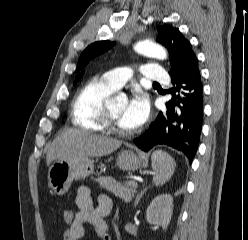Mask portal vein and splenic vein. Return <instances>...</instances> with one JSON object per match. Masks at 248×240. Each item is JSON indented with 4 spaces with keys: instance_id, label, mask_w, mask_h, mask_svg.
Returning <instances> with one entry per match:
<instances>
[{
    "instance_id": "obj_1",
    "label": "portal vein and splenic vein",
    "mask_w": 248,
    "mask_h": 240,
    "mask_svg": "<svg viewBox=\"0 0 248 240\" xmlns=\"http://www.w3.org/2000/svg\"><path fill=\"white\" fill-rule=\"evenodd\" d=\"M128 184L131 185V186H133V187H135V188L138 187V184H137L136 181H129Z\"/></svg>"
}]
</instances>
